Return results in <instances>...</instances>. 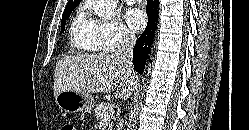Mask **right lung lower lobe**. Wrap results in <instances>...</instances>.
<instances>
[{"label":"right lung lower lobe","mask_w":249,"mask_h":130,"mask_svg":"<svg viewBox=\"0 0 249 130\" xmlns=\"http://www.w3.org/2000/svg\"><path fill=\"white\" fill-rule=\"evenodd\" d=\"M158 6V0H148L146 7L148 14V23L145 31L136 41V44L133 48L134 69L140 74H142L144 71L145 62L153 42L154 33L158 21Z\"/></svg>","instance_id":"obj_1"}]
</instances>
